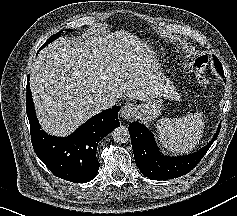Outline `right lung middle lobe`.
<instances>
[{
  "mask_svg": "<svg viewBox=\"0 0 237 216\" xmlns=\"http://www.w3.org/2000/svg\"><path fill=\"white\" fill-rule=\"evenodd\" d=\"M68 31H71V30H68ZM61 32H62V31H60L59 33L54 34L53 36H51V37L44 43V45H42V46L40 47L39 51H40L42 48H44L47 44H49L50 42H52V41H54L55 39L59 38L60 35H61V34H60Z\"/></svg>",
  "mask_w": 237,
  "mask_h": 216,
  "instance_id": "obj_1",
  "label": "right lung middle lobe"
}]
</instances>
